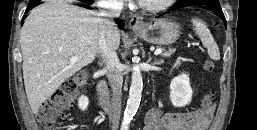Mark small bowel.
I'll list each match as a JSON object with an SVG mask.
<instances>
[{
	"instance_id": "c3829d8e",
	"label": "small bowel",
	"mask_w": 257,
	"mask_h": 130,
	"mask_svg": "<svg viewBox=\"0 0 257 130\" xmlns=\"http://www.w3.org/2000/svg\"><path fill=\"white\" fill-rule=\"evenodd\" d=\"M213 117V107L187 112L151 109L145 117L144 130H206Z\"/></svg>"
}]
</instances>
